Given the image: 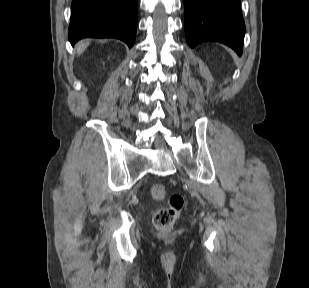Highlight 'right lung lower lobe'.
I'll list each match as a JSON object with an SVG mask.
<instances>
[{
	"mask_svg": "<svg viewBox=\"0 0 309 288\" xmlns=\"http://www.w3.org/2000/svg\"><path fill=\"white\" fill-rule=\"evenodd\" d=\"M137 27V0H72L69 41L117 38L130 48Z\"/></svg>",
	"mask_w": 309,
	"mask_h": 288,
	"instance_id": "obj_1",
	"label": "right lung lower lobe"
}]
</instances>
